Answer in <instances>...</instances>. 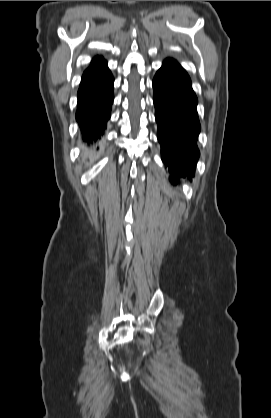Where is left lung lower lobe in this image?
Listing matches in <instances>:
<instances>
[{"label": "left lung lower lobe", "mask_w": 271, "mask_h": 418, "mask_svg": "<svg viewBox=\"0 0 271 418\" xmlns=\"http://www.w3.org/2000/svg\"><path fill=\"white\" fill-rule=\"evenodd\" d=\"M153 89L162 161L169 167L171 180L194 176L199 157L196 141L201 127L190 77L169 58L157 71Z\"/></svg>", "instance_id": "left-lung-lower-lobe-1"}]
</instances>
